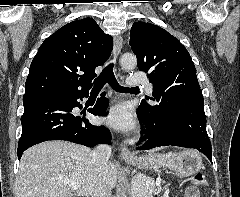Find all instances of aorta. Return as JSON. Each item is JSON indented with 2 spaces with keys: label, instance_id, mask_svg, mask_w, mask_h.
I'll return each mask as SVG.
<instances>
[{
  "label": "aorta",
  "instance_id": "obj_1",
  "mask_svg": "<svg viewBox=\"0 0 240 197\" xmlns=\"http://www.w3.org/2000/svg\"><path fill=\"white\" fill-rule=\"evenodd\" d=\"M120 62H121L122 68L125 71L129 72L136 67L137 58L133 54H124V55H122ZM141 182H142V186H143L142 195L145 197L149 193V190H150V187H151L150 180L146 177H143L141 179ZM151 196L152 195H150V197Z\"/></svg>",
  "mask_w": 240,
  "mask_h": 197
}]
</instances>
